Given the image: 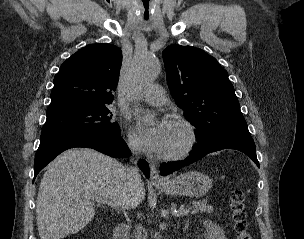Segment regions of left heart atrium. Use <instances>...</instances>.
<instances>
[{
    "mask_svg": "<svg viewBox=\"0 0 304 239\" xmlns=\"http://www.w3.org/2000/svg\"><path fill=\"white\" fill-rule=\"evenodd\" d=\"M171 126V122L162 121L152 127L139 121L137 123V140L139 144L148 151L162 152Z\"/></svg>",
    "mask_w": 304,
    "mask_h": 239,
    "instance_id": "1",
    "label": "left heart atrium"
}]
</instances>
